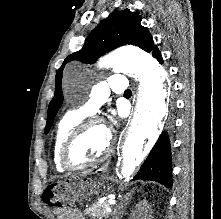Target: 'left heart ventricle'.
Here are the masks:
<instances>
[{
	"mask_svg": "<svg viewBox=\"0 0 221 219\" xmlns=\"http://www.w3.org/2000/svg\"><path fill=\"white\" fill-rule=\"evenodd\" d=\"M108 144L107 130L94 124L86 128L71 150V159L75 163H86L99 157Z\"/></svg>",
	"mask_w": 221,
	"mask_h": 219,
	"instance_id": "b2bd125f",
	"label": "left heart ventricle"
}]
</instances>
